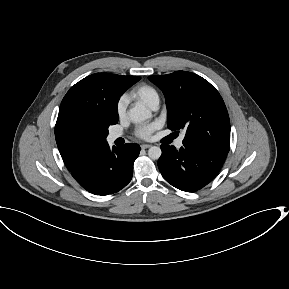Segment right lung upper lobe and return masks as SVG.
Listing matches in <instances>:
<instances>
[{"label":"right lung upper lobe","instance_id":"cb5924a9","mask_svg":"<svg viewBox=\"0 0 289 289\" xmlns=\"http://www.w3.org/2000/svg\"><path fill=\"white\" fill-rule=\"evenodd\" d=\"M138 80V76L97 73L85 77L67 92L60 105L55 138L70 171L108 145L106 138H102V126L110 120L116 98ZM85 136L90 139H84Z\"/></svg>","mask_w":289,"mask_h":289}]
</instances>
